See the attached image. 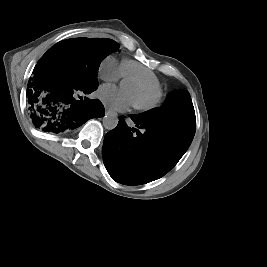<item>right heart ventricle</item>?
I'll use <instances>...</instances> for the list:
<instances>
[{"label": "right heart ventricle", "mask_w": 267, "mask_h": 267, "mask_svg": "<svg viewBox=\"0 0 267 267\" xmlns=\"http://www.w3.org/2000/svg\"><path fill=\"white\" fill-rule=\"evenodd\" d=\"M121 75L130 79L137 77L150 85V87L158 89L161 91V83L159 77L148 67L142 65L141 63L132 60H123L121 62Z\"/></svg>", "instance_id": "obj_1"}]
</instances>
